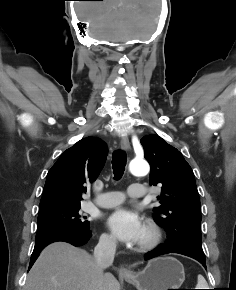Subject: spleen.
Masks as SVG:
<instances>
[{
	"mask_svg": "<svg viewBox=\"0 0 236 290\" xmlns=\"http://www.w3.org/2000/svg\"><path fill=\"white\" fill-rule=\"evenodd\" d=\"M196 289H207V282L202 275H198Z\"/></svg>",
	"mask_w": 236,
	"mask_h": 290,
	"instance_id": "3e777b00",
	"label": "spleen"
}]
</instances>
